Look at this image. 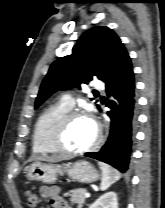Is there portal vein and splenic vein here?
Segmentation results:
<instances>
[{"label": "portal vein and splenic vein", "mask_w": 165, "mask_h": 208, "mask_svg": "<svg viewBox=\"0 0 165 208\" xmlns=\"http://www.w3.org/2000/svg\"><path fill=\"white\" fill-rule=\"evenodd\" d=\"M85 197H86V198H89V197H90V194L86 192V193H85Z\"/></svg>", "instance_id": "18ae733b"}]
</instances>
